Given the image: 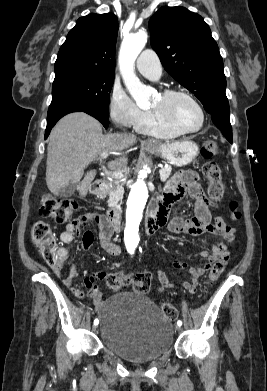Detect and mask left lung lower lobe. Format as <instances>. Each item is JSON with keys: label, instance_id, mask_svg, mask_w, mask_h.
<instances>
[{"label": "left lung lower lobe", "instance_id": "1", "mask_svg": "<svg viewBox=\"0 0 267 391\" xmlns=\"http://www.w3.org/2000/svg\"><path fill=\"white\" fill-rule=\"evenodd\" d=\"M213 123L222 131L226 139L232 143V128L229 111H219L211 114Z\"/></svg>", "mask_w": 267, "mask_h": 391}]
</instances>
